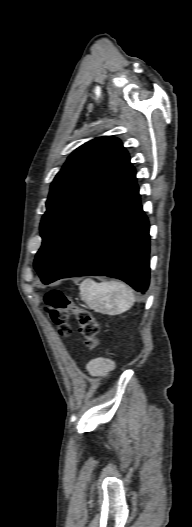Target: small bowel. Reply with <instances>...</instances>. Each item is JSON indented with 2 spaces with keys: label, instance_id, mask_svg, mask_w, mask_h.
<instances>
[{
  "label": "small bowel",
  "instance_id": "small-bowel-1",
  "mask_svg": "<svg viewBox=\"0 0 192 527\" xmlns=\"http://www.w3.org/2000/svg\"><path fill=\"white\" fill-rule=\"evenodd\" d=\"M113 368V361L106 358H95L86 364L87 371L93 376H105Z\"/></svg>",
  "mask_w": 192,
  "mask_h": 527
}]
</instances>
